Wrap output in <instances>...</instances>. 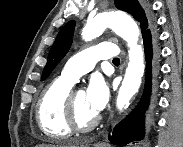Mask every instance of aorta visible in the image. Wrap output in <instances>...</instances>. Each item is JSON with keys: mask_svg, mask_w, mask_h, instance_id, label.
Listing matches in <instances>:
<instances>
[{"mask_svg": "<svg viewBox=\"0 0 183 147\" xmlns=\"http://www.w3.org/2000/svg\"><path fill=\"white\" fill-rule=\"evenodd\" d=\"M110 28L121 36L129 47V62L122 85L119 89L116 106L118 110L129 106V101L137 93L144 73V54L138 44L140 31L136 22L122 12H103L88 20L82 30V38L90 41Z\"/></svg>", "mask_w": 183, "mask_h": 147, "instance_id": "obj_1", "label": "aorta"}]
</instances>
